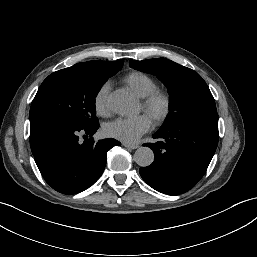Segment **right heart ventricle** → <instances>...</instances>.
Instances as JSON below:
<instances>
[{
  "label": "right heart ventricle",
  "instance_id": "e07e8e85",
  "mask_svg": "<svg viewBox=\"0 0 257 257\" xmlns=\"http://www.w3.org/2000/svg\"><path fill=\"white\" fill-rule=\"evenodd\" d=\"M125 82L141 98L156 90L155 81L144 73H132L125 78Z\"/></svg>",
  "mask_w": 257,
  "mask_h": 257
}]
</instances>
